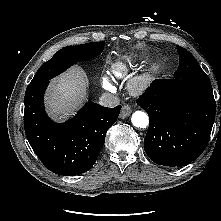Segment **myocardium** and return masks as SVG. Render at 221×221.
<instances>
[{
	"instance_id": "f54148a6",
	"label": "myocardium",
	"mask_w": 221,
	"mask_h": 221,
	"mask_svg": "<svg viewBox=\"0 0 221 221\" xmlns=\"http://www.w3.org/2000/svg\"><path fill=\"white\" fill-rule=\"evenodd\" d=\"M152 82V74L144 72L134 77L130 83V90L135 94L143 93Z\"/></svg>"
}]
</instances>
